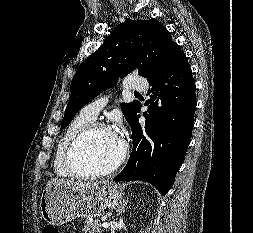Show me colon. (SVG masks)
<instances>
[{"label":"colon","mask_w":253,"mask_h":233,"mask_svg":"<svg viewBox=\"0 0 253 233\" xmlns=\"http://www.w3.org/2000/svg\"><path fill=\"white\" fill-rule=\"evenodd\" d=\"M43 233H60V231L55 226H47L43 229Z\"/></svg>","instance_id":"1"}]
</instances>
